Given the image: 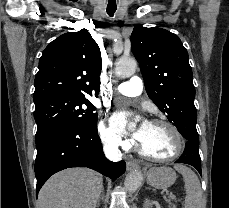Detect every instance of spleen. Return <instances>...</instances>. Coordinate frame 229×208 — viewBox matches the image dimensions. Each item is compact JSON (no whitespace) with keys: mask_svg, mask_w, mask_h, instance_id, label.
<instances>
[{"mask_svg":"<svg viewBox=\"0 0 229 208\" xmlns=\"http://www.w3.org/2000/svg\"><path fill=\"white\" fill-rule=\"evenodd\" d=\"M175 170L182 174L185 182L186 198L185 208H201L202 206V192L200 182L190 168L181 166V164H175Z\"/></svg>","mask_w":229,"mask_h":208,"instance_id":"obj_1","label":"spleen"}]
</instances>
